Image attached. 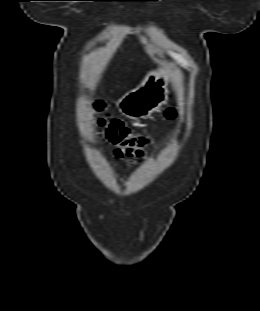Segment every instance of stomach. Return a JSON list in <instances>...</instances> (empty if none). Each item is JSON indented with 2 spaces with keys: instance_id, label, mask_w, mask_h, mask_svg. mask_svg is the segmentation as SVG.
<instances>
[{
  "instance_id": "obj_1",
  "label": "stomach",
  "mask_w": 260,
  "mask_h": 311,
  "mask_svg": "<svg viewBox=\"0 0 260 311\" xmlns=\"http://www.w3.org/2000/svg\"><path fill=\"white\" fill-rule=\"evenodd\" d=\"M169 66L150 71L140 85L117 101L119 111L134 120L146 118L167 99Z\"/></svg>"
}]
</instances>
